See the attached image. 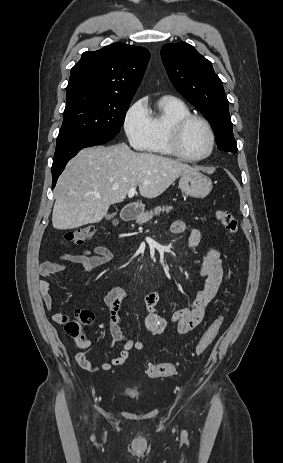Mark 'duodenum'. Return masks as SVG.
<instances>
[{
  "label": "duodenum",
  "instance_id": "obj_1",
  "mask_svg": "<svg viewBox=\"0 0 283 463\" xmlns=\"http://www.w3.org/2000/svg\"><path fill=\"white\" fill-rule=\"evenodd\" d=\"M137 214V206L135 204H128L123 208L120 219L116 223L132 220L137 217Z\"/></svg>",
  "mask_w": 283,
  "mask_h": 463
}]
</instances>
